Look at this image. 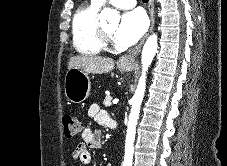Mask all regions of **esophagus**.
<instances>
[{"instance_id": "34e87169", "label": "esophagus", "mask_w": 227, "mask_h": 166, "mask_svg": "<svg viewBox=\"0 0 227 166\" xmlns=\"http://www.w3.org/2000/svg\"><path fill=\"white\" fill-rule=\"evenodd\" d=\"M148 10H149V15H150V27H149L147 33L142 38L140 43L132 51H130L128 54L123 55L119 59V64L128 65V64L134 63L137 55L140 53V50H141V47H142L143 43L145 42V40L148 37V35L151 33V31H152V29L154 27V23H155V18H154V14H155L154 13V0H148Z\"/></svg>"}]
</instances>
